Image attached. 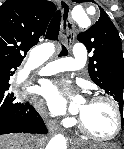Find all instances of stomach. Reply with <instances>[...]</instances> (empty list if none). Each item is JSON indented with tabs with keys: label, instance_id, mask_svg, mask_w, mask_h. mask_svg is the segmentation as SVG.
<instances>
[{
	"label": "stomach",
	"instance_id": "stomach-1",
	"mask_svg": "<svg viewBox=\"0 0 124 149\" xmlns=\"http://www.w3.org/2000/svg\"><path fill=\"white\" fill-rule=\"evenodd\" d=\"M85 149H112L111 147L105 146V145H100V146H93L91 148H85Z\"/></svg>",
	"mask_w": 124,
	"mask_h": 149
}]
</instances>
